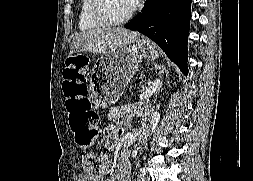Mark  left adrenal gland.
<instances>
[{
    "mask_svg": "<svg viewBox=\"0 0 253 181\" xmlns=\"http://www.w3.org/2000/svg\"><path fill=\"white\" fill-rule=\"evenodd\" d=\"M163 70H164V69L161 68V72H162ZM157 82H158V81H157ZM160 88H161V83L157 86V90H156V92H155L156 95H157V93L159 92Z\"/></svg>",
    "mask_w": 253,
    "mask_h": 181,
    "instance_id": "a2214340",
    "label": "left adrenal gland"
}]
</instances>
